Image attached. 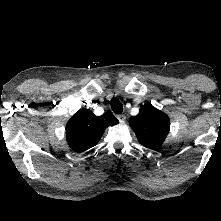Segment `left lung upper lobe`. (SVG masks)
Returning a JSON list of instances; mask_svg holds the SVG:
<instances>
[{
	"instance_id": "5c2ea615",
	"label": "left lung upper lobe",
	"mask_w": 221,
	"mask_h": 221,
	"mask_svg": "<svg viewBox=\"0 0 221 221\" xmlns=\"http://www.w3.org/2000/svg\"><path fill=\"white\" fill-rule=\"evenodd\" d=\"M138 141L145 147L157 149L165 140L170 121L168 116L152 105L141 106L140 112L129 119Z\"/></svg>"
}]
</instances>
